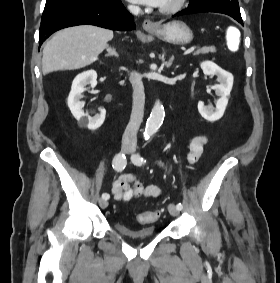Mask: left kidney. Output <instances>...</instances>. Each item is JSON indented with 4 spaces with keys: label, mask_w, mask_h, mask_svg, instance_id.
I'll return each mask as SVG.
<instances>
[{
    "label": "left kidney",
    "mask_w": 280,
    "mask_h": 283,
    "mask_svg": "<svg viewBox=\"0 0 280 283\" xmlns=\"http://www.w3.org/2000/svg\"><path fill=\"white\" fill-rule=\"evenodd\" d=\"M200 66L205 75L211 77L216 75L219 82V84L212 86L216 95L219 96L215 108L212 106H205L202 101L198 102V111L201 116L210 122H214L219 120L225 112L228 104V96L230 95L233 86V75L223 70L212 61H204Z\"/></svg>",
    "instance_id": "5707ae66"
}]
</instances>
